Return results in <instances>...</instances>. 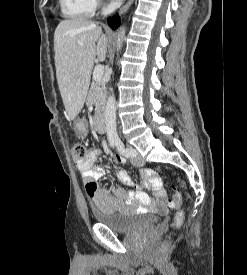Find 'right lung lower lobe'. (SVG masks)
Instances as JSON below:
<instances>
[{
  "label": "right lung lower lobe",
  "instance_id": "1",
  "mask_svg": "<svg viewBox=\"0 0 247 275\" xmlns=\"http://www.w3.org/2000/svg\"><path fill=\"white\" fill-rule=\"evenodd\" d=\"M107 22L109 24V26L112 28V29H116L119 25H120V20H119V16L118 14L117 15H114L112 17H109L107 19Z\"/></svg>",
  "mask_w": 247,
  "mask_h": 275
}]
</instances>
